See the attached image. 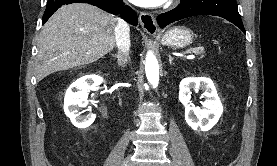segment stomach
<instances>
[{"instance_id": "1", "label": "stomach", "mask_w": 277, "mask_h": 166, "mask_svg": "<svg viewBox=\"0 0 277 166\" xmlns=\"http://www.w3.org/2000/svg\"><path fill=\"white\" fill-rule=\"evenodd\" d=\"M194 33L187 27H174L161 37V43L174 48H184L193 42Z\"/></svg>"}]
</instances>
